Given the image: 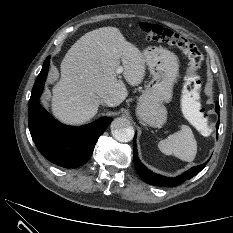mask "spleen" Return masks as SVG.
<instances>
[{"mask_svg":"<svg viewBox=\"0 0 233 233\" xmlns=\"http://www.w3.org/2000/svg\"><path fill=\"white\" fill-rule=\"evenodd\" d=\"M198 104L194 105V118L197 121L201 115L198 113ZM160 151L166 155H174L182 161L192 162L197 153V141L190 127L181 125L180 130L170 134L158 143Z\"/></svg>","mask_w":233,"mask_h":233,"instance_id":"obj_1","label":"spleen"}]
</instances>
